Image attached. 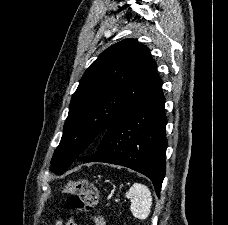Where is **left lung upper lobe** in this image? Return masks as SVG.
<instances>
[{"label": "left lung upper lobe", "instance_id": "5c2ea615", "mask_svg": "<svg viewBox=\"0 0 228 225\" xmlns=\"http://www.w3.org/2000/svg\"><path fill=\"white\" fill-rule=\"evenodd\" d=\"M149 49L135 39L107 48L85 71L72 96L61 142L51 163L64 173L88 146L159 80Z\"/></svg>", "mask_w": 228, "mask_h": 225}]
</instances>
